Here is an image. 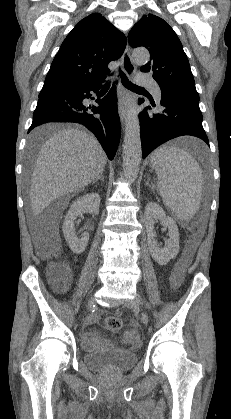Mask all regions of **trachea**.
<instances>
[{
	"instance_id": "3493384b",
	"label": "trachea",
	"mask_w": 231,
	"mask_h": 419,
	"mask_svg": "<svg viewBox=\"0 0 231 419\" xmlns=\"http://www.w3.org/2000/svg\"><path fill=\"white\" fill-rule=\"evenodd\" d=\"M120 76H121L122 83L126 88H128L130 90H143V88L131 83L128 80L127 76L122 71H120ZM109 86H110V84L108 83L104 87L108 88Z\"/></svg>"
}]
</instances>
